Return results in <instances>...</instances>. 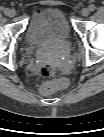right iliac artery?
<instances>
[{
    "label": "right iliac artery",
    "mask_w": 104,
    "mask_h": 137,
    "mask_svg": "<svg viewBox=\"0 0 104 137\" xmlns=\"http://www.w3.org/2000/svg\"><path fill=\"white\" fill-rule=\"evenodd\" d=\"M3 11H4L5 14H7L8 9L4 8Z\"/></svg>",
    "instance_id": "right-iliac-artery-1"
}]
</instances>
